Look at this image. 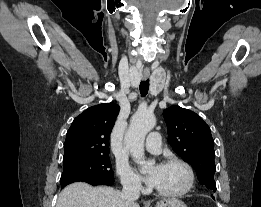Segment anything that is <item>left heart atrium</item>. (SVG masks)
Here are the masks:
<instances>
[{
    "label": "left heart atrium",
    "mask_w": 261,
    "mask_h": 207,
    "mask_svg": "<svg viewBox=\"0 0 261 207\" xmlns=\"http://www.w3.org/2000/svg\"><path fill=\"white\" fill-rule=\"evenodd\" d=\"M156 180H157V170L151 172L148 177H147V182L151 185H155L156 183Z\"/></svg>",
    "instance_id": "left-heart-atrium-1"
}]
</instances>
